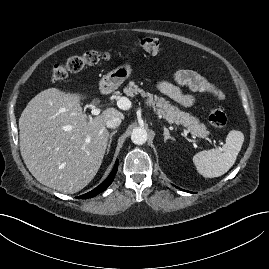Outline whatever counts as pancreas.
Here are the masks:
<instances>
[{
	"label": "pancreas",
	"instance_id": "pancreas-1",
	"mask_svg": "<svg viewBox=\"0 0 269 269\" xmlns=\"http://www.w3.org/2000/svg\"><path fill=\"white\" fill-rule=\"evenodd\" d=\"M124 93L130 97H134L137 94H140L142 97H146L147 105L152 107L157 114L162 115L169 123H176L185 126L194 136L206 138L209 134L206 126L203 123H200L199 119L194 117L192 114L181 111L178 107L171 105L169 101L162 97L145 92L133 81H130L124 88Z\"/></svg>",
	"mask_w": 269,
	"mask_h": 269
}]
</instances>
